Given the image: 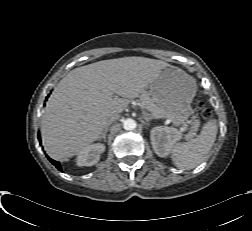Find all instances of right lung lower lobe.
Returning <instances> with one entry per match:
<instances>
[{"instance_id": "1", "label": "right lung lower lobe", "mask_w": 252, "mask_h": 231, "mask_svg": "<svg viewBox=\"0 0 252 231\" xmlns=\"http://www.w3.org/2000/svg\"><path fill=\"white\" fill-rule=\"evenodd\" d=\"M48 159L50 160V162L58 169V170H61V166H60V163L58 161H55L51 158L48 157Z\"/></svg>"}]
</instances>
